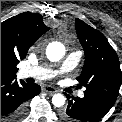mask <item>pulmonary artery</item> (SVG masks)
<instances>
[{
  "label": "pulmonary artery",
  "mask_w": 122,
  "mask_h": 122,
  "mask_svg": "<svg viewBox=\"0 0 122 122\" xmlns=\"http://www.w3.org/2000/svg\"><path fill=\"white\" fill-rule=\"evenodd\" d=\"M81 56H82L81 51L70 52L68 56L66 57V59L64 60L60 70H53V69L41 67V66L25 67L20 70L19 74L22 78L32 77L39 80H47L54 77L58 73L68 72L74 69L79 63ZM78 96L82 98L84 97V93L81 91L78 93Z\"/></svg>",
  "instance_id": "1"
}]
</instances>
